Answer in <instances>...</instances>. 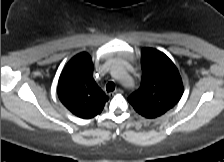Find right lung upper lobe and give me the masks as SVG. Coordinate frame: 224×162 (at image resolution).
<instances>
[{
  "label": "right lung upper lobe",
  "mask_w": 224,
  "mask_h": 162,
  "mask_svg": "<svg viewBox=\"0 0 224 162\" xmlns=\"http://www.w3.org/2000/svg\"><path fill=\"white\" fill-rule=\"evenodd\" d=\"M57 91L64 106L84 119L99 114L108 100L93 79V63L86 52L77 54L66 64Z\"/></svg>",
  "instance_id": "1"
}]
</instances>
